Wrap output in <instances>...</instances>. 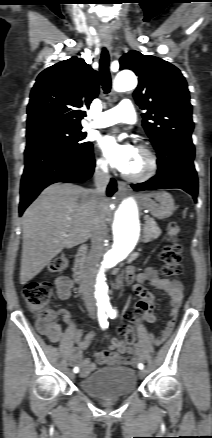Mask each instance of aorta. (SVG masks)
Segmentation results:
<instances>
[{
  "label": "aorta",
  "mask_w": 212,
  "mask_h": 438,
  "mask_svg": "<svg viewBox=\"0 0 212 438\" xmlns=\"http://www.w3.org/2000/svg\"><path fill=\"white\" fill-rule=\"evenodd\" d=\"M136 86L137 78L134 73L123 71L116 76L113 87L117 92H124L134 89ZM112 231L114 238L113 247L104 255L93 284L95 297L101 305H109L108 282L106 278L108 270L125 260L140 238L141 225L139 212L137 204L132 197L123 199L115 210Z\"/></svg>",
  "instance_id": "obj_1"
}]
</instances>
